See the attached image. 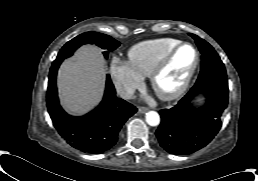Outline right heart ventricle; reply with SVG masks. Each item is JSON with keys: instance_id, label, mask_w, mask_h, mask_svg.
<instances>
[{"instance_id": "e07e8e85", "label": "right heart ventricle", "mask_w": 258, "mask_h": 181, "mask_svg": "<svg viewBox=\"0 0 258 181\" xmlns=\"http://www.w3.org/2000/svg\"><path fill=\"white\" fill-rule=\"evenodd\" d=\"M181 41L174 38L146 40L128 51L129 66L142 78L149 77L157 62Z\"/></svg>"}]
</instances>
